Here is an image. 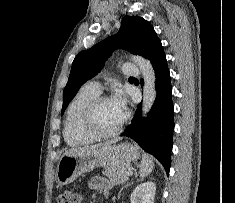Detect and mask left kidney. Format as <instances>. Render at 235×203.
<instances>
[{"mask_svg":"<svg viewBox=\"0 0 235 203\" xmlns=\"http://www.w3.org/2000/svg\"><path fill=\"white\" fill-rule=\"evenodd\" d=\"M156 184L152 181L144 182L136 186L133 190L131 203H154Z\"/></svg>","mask_w":235,"mask_h":203,"instance_id":"5707ae66","label":"left kidney"}]
</instances>
